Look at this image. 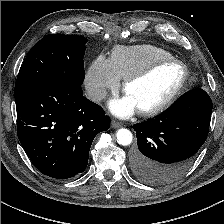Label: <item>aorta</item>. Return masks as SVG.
<instances>
[{"label": "aorta", "mask_w": 224, "mask_h": 224, "mask_svg": "<svg viewBox=\"0 0 224 224\" xmlns=\"http://www.w3.org/2000/svg\"><path fill=\"white\" fill-rule=\"evenodd\" d=\"M116 137H117V142L123 146L130 145L133 139L132 133L128 129H125V128L119 129L116 133Z\"/></svg>", "instance_id": "762f6f07"}]
</instances>
